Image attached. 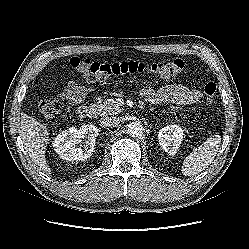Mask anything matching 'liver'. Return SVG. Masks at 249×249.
<instances>
[{"instance_id":"liver-1","label":"liver","mask_w":249,"mask_h":249,"mask_svg":"<svg viewBox=\"0 0 249 249\" xmlns=\"http://www.w3.org/2000/svg\"><path fill=\"white\" fill-rule=\"evenodd\" d=\"M19 126L21 138L30 158L44 173L51 174L45 158L46 147L50 141L46 126L25 113L21 114Z\"/></svg>"}]
</instances>
